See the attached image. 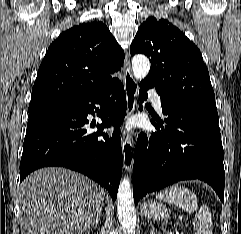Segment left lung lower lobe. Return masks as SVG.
Returning a JSON list of instances; mask_svg holds the SVG:
<instances>
[{"mask_svg": "<svg viewBox=\"0 0 241 234\" xmlns=\"http://www.w3.org/2000/svg\"><path fill=\"white\" fill-rule=\"evenodd\" d=\"M152 87L150 82L140 83L141 102L147 99L146 91ZM157 92L166 117L163 121L160 118L151 120L158 130L149 140L144 133L138 137L134 151L135 204L147 193L188 179L208 183L224 202V152L218 113L166 98Z\"/></svg>", "mask_w": 241, "mask_h": 234, "instance_id": "obj_1", "label": "left lung lower lobe"}]
</instances>
